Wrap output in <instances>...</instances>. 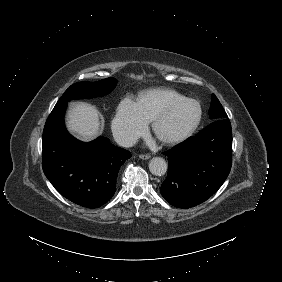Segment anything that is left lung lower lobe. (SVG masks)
Wrapping results in <instances>:
<instances>
[{
	"mask_svg": "<svg viewBox=\"0 0 282 282\" xmlns=\"http://www.w3.org/2000/svg\"><path fill=\"white\" fill-rule=\"evenodd\" d=\"M167 179L162 196L173 206L190 208L210 198L227 178L232 165V131L227 118L213 122L164 153Z\"/></svg>",
	"mask_w": 282,
	"mask_h": 282,
	"instance_id": "obj_1",
	"label": "left lung lower lobe"
}]
</instances>
